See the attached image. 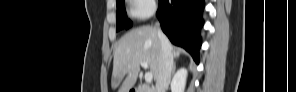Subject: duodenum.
<instances>
[{
    "label": "duodenum",
    "instance_id": "obj_1",
    "mask_svg": "<svg viewBox=\"0 0 296 92\" xmlns=\"http://www.w3.org/2000/svg\"><path fill=\"white\" fill-rule=\"evenodd\" d=\"M148 91L146 88H142L140 86L132 87L130 92H145Z\"/></svg>",
    "mask_w": 296,
    "mask_h": 92
}]
</instances>
